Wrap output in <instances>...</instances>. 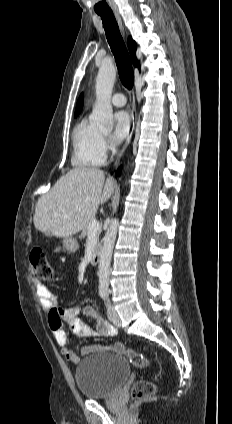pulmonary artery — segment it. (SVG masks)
Returning <instances> with one entry per match:
<instances>
[{
	"label": "pulmonary artery",
	"mask_w": 232,
	"mask_h": 424,
	"mask_svg": "<svg viewBox=\"0 0 232 424\" xmlns=\"http://www.w3.org/2000/svg\"><path fill=\"white\" fill-rule=\"evenodd\" d=\"M111 102L116 107H123L126 104L127 100L123 93H116L113 95Z\"/></svg>",
	"instance_id": "e3ab8cb5"
}]
</instances>
